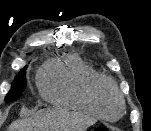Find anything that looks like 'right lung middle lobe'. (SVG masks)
<instances>
[{"instance_id":"1","label":"right lung middle lobe","mask_w":151,"mask_h":131,"mask_svg":"<svg viewBox=\"0 0 151 131\" xmlns=\"http://www.w3.org/2000/svg\"><path fill=\"white\" fill-rule=\"evenodd\" d=\"M26 67L20 70L19 74L15 77L14 81L12 82L11 90L8 92L7 96L5 97V102H10L20 96V94L26 88Z\"/></svg>"}]
</instances>
